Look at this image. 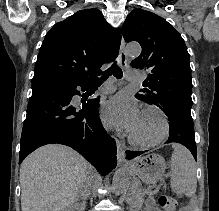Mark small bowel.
<instances>
[{
	"instance_id": "small-bowel-1",
	"label": "small bowel",
	"mask_w": 219,
	"mask_h": 211,
	"mask_svg": "<svg viewBox=\"0 0 219 211\" xmlns=\"http://www.w3.org/2000/svg\"><path fill=\"white\" fill-rule=\"evenodd\" d=\"M147 210L148 211H158L155 202L153 201V199H149L148 203H147ZM182 211H192V209L190 207H186L184 208Z\"/></svg>"
}]
</instances>
